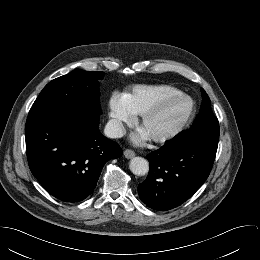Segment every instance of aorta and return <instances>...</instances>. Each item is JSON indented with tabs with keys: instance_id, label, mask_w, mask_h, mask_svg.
Masks as SVG:
<instances>
[{
	"instance_id": "obj_1",
	"label": "aorta",
	"mask_w": 260,
	"mask_h": 260,
	"mask_svg": "<svg viewBox=\"0 0 260 260\" xmlns=\"http://www.w3.org/2000/svg\"><path fill=\"white\" fill-rule=\"evenodd\" d=\"M129 168L133 174L144 176L149 171V163L142 157H134L130 160Z\"/></svg>"
}]
</instances>
